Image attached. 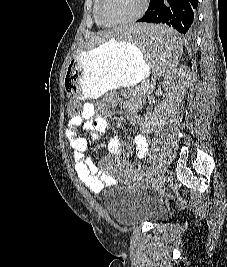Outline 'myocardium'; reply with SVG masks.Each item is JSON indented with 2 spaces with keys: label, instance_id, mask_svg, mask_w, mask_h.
<instances>
[{
  "label": "myocardium",
  "instance_id": "f54148a6",
  "mask_svg": "<svg viewBox=\"0 0 227 267\" xmlns=\"http://www.w3.org/2000/svg\"><path fill=\"white\" fill-rule=\"evenodd\" d=\"M148 5H149V0H142L139 11L137 13H135L133 16H131L127 19H122V20H118V21H111V20L107 19L105 14H104V10H103L104 0H99L98 13H99V16L102 19V21L104 23H106L107 25H123V24L135 22L138 19H140L147 11Z\"/></svg>",
  "mask_w": 227,
  "mask_h": 267
}]
</instances>
